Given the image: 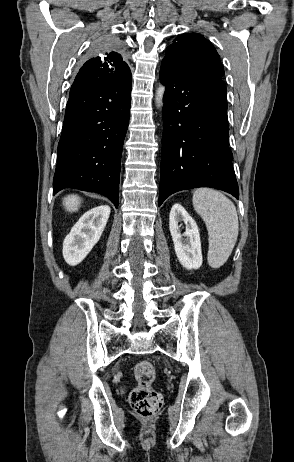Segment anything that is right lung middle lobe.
<instances>
[{
    "mask_svg": "<svg viewBox=\"0 0 294 462\" xmlns=\"http://www.w3.org/2000/svg\"><path fill=\"white\" fill-rule=\"evenodd\" d=\"M120 40L111 34H105L99 37L92 45L90 49V55H95L96 53L107 50V49H117L120 47Z\"/></svg>",
    "mask_w": 294,
    "mask_h": 462,
    "instance_id": "dd1d6c3e",
    "label": "right lung middle lobe"
}]
</instances>
